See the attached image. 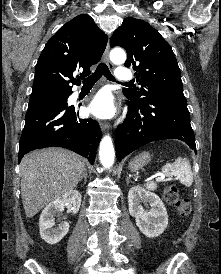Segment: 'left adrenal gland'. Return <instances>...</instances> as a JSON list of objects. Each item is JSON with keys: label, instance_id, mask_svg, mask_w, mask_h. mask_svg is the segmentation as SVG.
<instances>
[{"label": "left adrenal gland", "instance_id": "1", "mask_svg": "<svg viewBox=\"0 0 221 274\" xmlns=\"http://www.w3.org/2000/svg\"><path fill=\"white\" fill-rule=\"evenodd\" d=\"M126 182H127V184H128V183H130V180H129V178H128V177L126 178Z\"/></svg>", "mask_w": 221, "mask_h": 274}]
</instances>
